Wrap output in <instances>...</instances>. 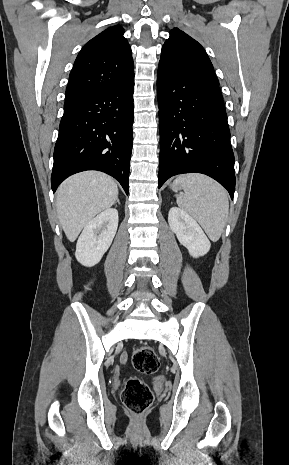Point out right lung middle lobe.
<instances>
[{"label": "right lung middle lobe", "mask_w": 289, "mask_h": 465, "mask_svg": "<svg viewBox=\"0 0 289 465\" xmlns=\"http://www.w3.org/2000/svg\"><path fill=\"white\" fill-rule=\"evenodd\" d=\"M67 108L64 106V111L66 110Z\"/></svg>", "instance_id": "obj_1"}]
</instances>
